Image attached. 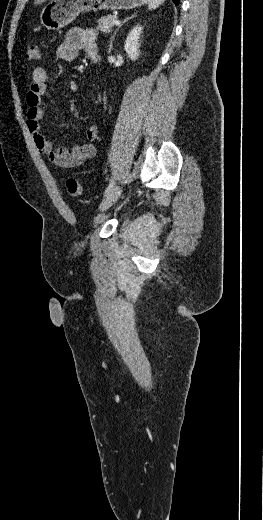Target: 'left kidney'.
Masks as SVG:
<instances>
[{"label": "left kidney", "instance_id": "1", "mask_svg": "<svg viewBox=\"0 0 263 520\" xmlns=\"http://www.w3.org/2000/svg\"><path fill=\"white\" fill-rule=\"evenodd\" d=\"M141 33H142V27H140V26L134 27L128 34L127 39L124 44V49L127 52L128 57L133 61H135L138 58V56L140 55L139 41H140Z\"/></svg>", "mask_w": 263, "mask_h": 520}]
</instances>
